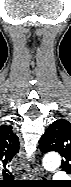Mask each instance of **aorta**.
Wrapping results in <instances>:
<instances>
[{
	"mask_svg": "<svg viewBox=\"0 0 71 187\" xmlns=\"http://www.w3.org/2000/svg\"><path fill=\"white\" fill-rule=\"evenodd\" d=\"M61 164V157L55 152L48 153L43 158V166L49 171L57 169Z\"/></svg>",
	"mask_w": 71,
	"mask_h": 187,
	"instance_id": "1",
	"label": "aorta"
}]
</instances>
